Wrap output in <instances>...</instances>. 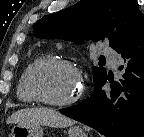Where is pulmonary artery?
<instances>
[{"mask_svg":"<svg viewBox=\"0 0 144 137\" xmlns=\"http://www.w3.org/2000/svg\"><path fill=\"white\" fill-rule=\"evenodd\" d=\"M103 54L109 59V61L111 62L113 68H117V64H118V56L116 54L115 51H113L112 49L108 48V47H103Z\"/></svg>","mask_w":144,"mask_h":137,"instance_id":"e3ab8cb5","label":"pulmonary artery"}]
</instances>
